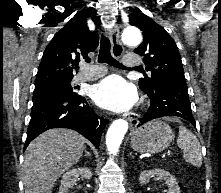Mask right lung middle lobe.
Wrapping results in <instances>:
<instances>
[{
    "label": "right lung middle lobe",
    "mask_w": 221,
    "mask_h": 193,
    "mask_svg": "<svg viewBox=\"0 0 221 193\" xmlns=\"http://www.w3.org/2000/svg\"><path fill=\"white\" fill-rule=\"evenodd\" d=\"M70 82L71 81L35 86L33 101L54 96L76 97L78 94L73 92Z\"/></svg>",
    "instance_id": "dd1d6c3e"
}]
</instances>
